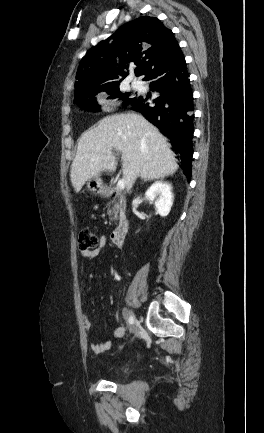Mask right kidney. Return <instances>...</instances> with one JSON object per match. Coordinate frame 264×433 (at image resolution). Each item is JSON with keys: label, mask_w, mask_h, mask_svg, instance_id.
Instances as JSON below:
<instances>
[{"label": "right kidney", "mask_w": 264, "mask_h": 433, "mask_svg": "<svg viewBox=\"0 0 264 433\" xmlns=\"http://www.w3.org/2000/svg\"><path fill=\"white\" fill-rule=\"evenodd\" d=\"M172 187L167 182L157 181L146 191L148 200L154 201L158 214L165 217L169 214L173 205Z\"/></svg>", "instance_id": "obj_1"}]
</instances>
